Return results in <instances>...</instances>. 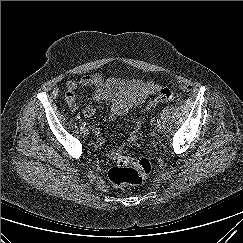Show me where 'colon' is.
I'll use <instances>...</instances> for the list:
<instances>
[{
  "mask_svg": "<svg viewBox=\"0 0 243 243\" xmlns=\"http://www.w3.org/2000/svg\"><path fill=\"white\" fill-rule=\"evenodd\" d=\"M173 99L174 93L168 88H163L154 99L148 102L147 107H155L170 102ZM139 130L140 122H138L133 133L129 136L124 145L115 148L108 153L109 159L113 162L108 177L116 187L139 185L144 182L151 172L152 165L149 159H133L124 154L125 145H130L136 142L139 136Z\"/></svg>",
  "mask_w": 243,
  "mask_h": 243,
  "instance_id": "1",
  "label": "colon"
}]
</instances>
